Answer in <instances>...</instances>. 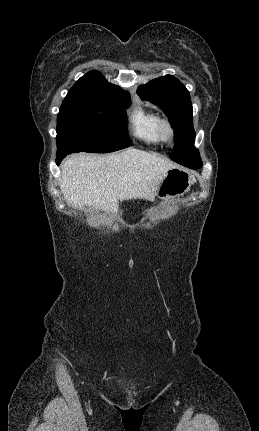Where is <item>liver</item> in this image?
Segmentation results:
<instances>
[{"mask_svg":"<svg viewBox=\"0 0 259 431\" xmlns=\"http://www.w3.org/2000/svg\"><path fill=\"white\" fill-rule=\"evenodd\" d=\"M170 161L134 148L118 154L69 156L62 165L60 189L75 208L118 212V200L153 201Z\"/></svg>","mask_w":259,"mask_h":431,"instance_id":"obj_1","label":"liver"}]
</instances>
